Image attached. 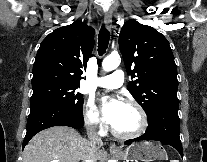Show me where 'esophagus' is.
I'll return each instance as SVG.
<instances>
[{"mask_svg":"<svg viewBox=\"0 0 207 162\" xmlns=\"http://www.w3.org/2000/svg\"><path fill=\"white\" fill-rule=\"evenodd\" d=\"M111 23H112V11L106 10L104 12V25L107 30L111 28ZM109 149L112 152L118 151V148L115 144H110Z\"/></svg>","mask_w":207,"mask_h":162,"instance_id":"1","label":"esophagus"}]
</instances>
